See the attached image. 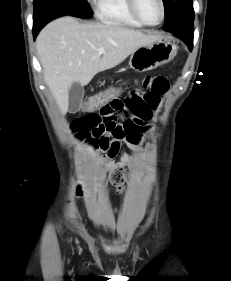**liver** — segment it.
<instances>
[{
  "instance_id": "liver-1",
  "label": "liver",
  "mask_w": 231,
  "mask_h": 281,
  "mask_svg": "<svg viewBox=\"0 0 231 281\" xmlns=\"http://www.w3.org/2000/svg\"><path fill=\"white\" fill-rule=\"evenodd\" d=\"M160 38L119 24L80 23L66 16L46 25L36 46L45 83L65 115L73 83L87 85L97 73L117 66L138 48ZM101 47L103 54L98 52Z\"/></svg>"
}]
</instances>
